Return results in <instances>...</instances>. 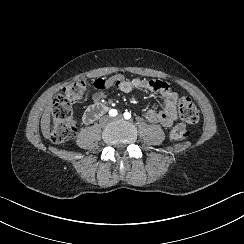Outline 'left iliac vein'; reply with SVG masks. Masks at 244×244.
<instances>
[{
  "instance_id": "left-iliac-vein-1",
  "label": "left iliac vein",
  "mask_w": 244,
  "mask_h": 244,
  "mask_svg": "<svg viewBox=\"0 0 244 244\" xmlns=\"http://www.w3.org/2000/svg\"><path fill=\"white\" fill-rule=\"evenodd\" d=\"M121 118H122V116L121 115H118L115 118H113V120H120Z\"/></svg>"
}]
</instances>
